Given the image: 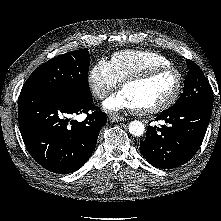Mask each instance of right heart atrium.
<instances>
[{
	"label": "right heart atrium",
	"mask_w": 221,
	"mask_h": 221,
	"mask_svg": "<svg viewBox=\"0 0 221 221\" xmlns=\"http://www.w3.org/2000/svg\"><path fill=\"white\" fill-rule=\"evenodd\" d=\"M88 83L93 95L102 100L118 86L119 80L114 74L109 61L101 59L91 67L88 74Z\"/></svg>",
	"instance_id": "right-heart-atrium-1"
}]
</instances>
